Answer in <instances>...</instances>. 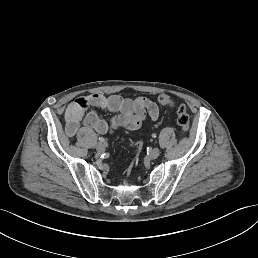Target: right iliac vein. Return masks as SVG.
<instances>
[{"instance_id": "1", "label": "right iliac vein", "mask_w": 258, "mask_h": 258, "mask_svg": "<svg viewBox=\"0 0 258 258\" xmlns=\"http://www.w3.org/2000/svg\"><path fill=\"white\" fill-rule=\"evenodd\" d=\"M95 150L97 153L102 154L105 152V145L102 143H96Z\"/></svg>"}]
</instances>
